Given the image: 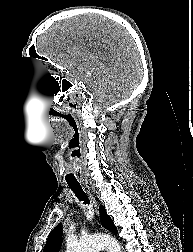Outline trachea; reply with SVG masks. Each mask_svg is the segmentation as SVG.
Instances as JSON below:
<instances>
[{
    "label": "trachea",
    "mask_w": 193,
    "mask_h": 252,
    "mask_svg": "<svg viewBox=\"0 0 193 252\" xmlns=\"http://www.w3.org/2000/svg\"><path fill=\"white\" fill-rule=\"evenodd\" d=\"M68 186L70 187V189L73 191V193L75 194V196L79 199V201H83V203L86 205L90 203L87 195L85 194V192L83 191L82 187L80 184H72V183H68Z\"/></svg>",
    "instance_id": "trachea-1"
}]
</instances>
